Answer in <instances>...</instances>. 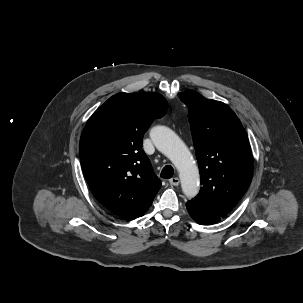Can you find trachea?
Wrapping results in <instances>:
<instances>
[{
  "label": "trachea",
  "instance_id": "1",
  "mask_svg": "<svg viewBox=\"0 0 303 303\" xmlns=\"http://www.w3.org/2000/svg\"><path fill=\"white\" fill-rule=\"evenodd\" d=\"M174 174V169L172 166L170 165H166L162 171H161V174L160 176L164 179H170Z\"/></svg>",
  "mask_w": 303,
  "mask_h": 303
}]
</instances>
